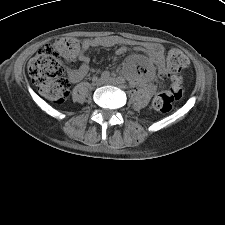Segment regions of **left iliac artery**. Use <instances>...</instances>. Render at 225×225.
I'll use <instances>...</instances> for the list:
<instances>
[{
	"instance_id": "obj_1",
	"label": "left iliac artery",
	"mask_w": 225,
	"mask_h": 225,
	"mask_svg": "<svg viewBox=\"0 0 225 225\" xmlns=\"http://www.w3.org/2000/svg\"><path fill=\"white\" fill-rule=\"evenodd\" d=\"M117 81L119 84H122V85H124V83H125V79L123 77H118Z\"/></svg>"
}]
</instances>
